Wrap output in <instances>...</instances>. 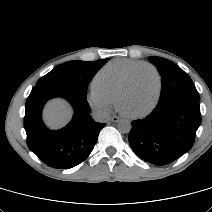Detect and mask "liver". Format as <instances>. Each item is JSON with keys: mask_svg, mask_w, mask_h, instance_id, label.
Masks as SVG:
<instances>
[{"mask_svg": "<svg viewBox=\"0 0 212 212\" xmlns=\"http://www.w3.org/2000/svg\"><path fill=\"white\" fill-rule=\"evenodd\" d=\"M70 114L69 106L59 99L49 102L44 110V118L47 124L53 128L64 124L69 119Z\"/></svg>", "mask_w": 212, "mask_h": 212, "instance_id": "liver-1", "label": "liver"}]
</instances>
